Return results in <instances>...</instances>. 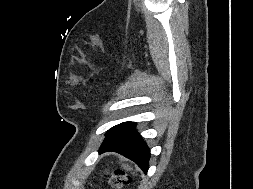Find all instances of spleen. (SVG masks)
<instances>
[{
	"instance_id": "1",
	"label": "spleen",
	"mask_w": 253,
	"mask_h": 189,
	"mask_svg": "<svg viewBox=\"0 0 253 189\" xmlns=\"http://www.w3.org/2000/svg\"><path fill=\"white\" fill-rule=\"evenodd\" d=\"M122 167H123V169H125L127 171H132L133 170V168L128 164H122Z\"/></svg>"
}]
</instances>
